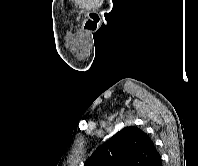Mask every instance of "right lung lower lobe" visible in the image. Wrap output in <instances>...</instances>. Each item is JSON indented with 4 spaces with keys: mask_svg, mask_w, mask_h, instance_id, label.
<instances>
[{
    "mask_svg": "<svg viewBox=\"0 0 198 166\" xmlns=\"http://www.w3.org/2000/svg\"><path fill=\"white\" fill-rule=\"evenodd\" d=\"M150 166H162V160L160 155L155 160L152 161Z\"/></svg>",
    "mask_w": 198,
    "mask_h": 166,
    "instance_id": "98d812e1",
    "label": "right lung lower lobe"
}]
</instances>
